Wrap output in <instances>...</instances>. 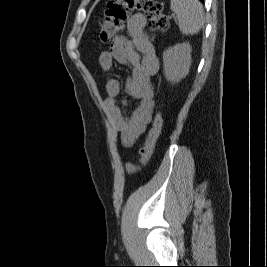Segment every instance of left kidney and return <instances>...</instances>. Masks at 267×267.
<instances>
[{"mask_svg": "<svg viewBox=\"0 0 267 267\" xmlns=\"http://www.w3.org/2000/svg\"><path fill=\"white\" fill-rule=\"evenodd\" d=\"M191 46L189 43L177 44L163 52L165 78L177 83L185 78L191 65Z\"/></svg>", "mask_w": 267, "mask_h": 267, "instance_id": "5707ae66", "label": "left kidney"}]
</instances>
